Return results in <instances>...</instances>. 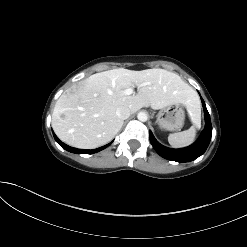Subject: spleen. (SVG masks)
<instances>
[{"label": "spleen", "mask_w": 247, "mask_h": 247, "mask_svg": "<svg viewBox=\"0 0 247 247\" xmlns=\"http://www.w3.org/2000/svg\"><path fill=\"white\" fill-rule=\"evenodd\" d=\"M189 114L194 125L191 126L188 130L173 133L168 136V142L174 148H183L191 145L194 142L196 137V126L201 122L199 100L198 105L189 110Z\"/></svg>", "instance_id": "obj_1"}]
</instances>
